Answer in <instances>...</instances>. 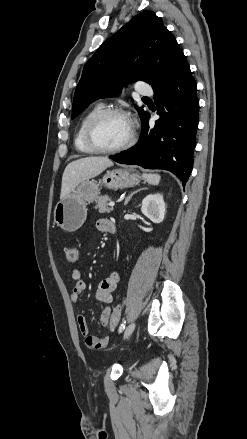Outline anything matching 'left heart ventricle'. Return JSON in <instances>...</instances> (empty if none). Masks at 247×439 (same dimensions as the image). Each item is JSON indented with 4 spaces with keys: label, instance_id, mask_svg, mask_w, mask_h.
I'll return each instance as SVG.
<instances>
[{
    "label": "left heart ventricle",
    "instance_id": "1",
    "mask_svg": "<svg viewBox=\"0 0 247 439\" xmlns=\"http://www.w3.org/2000/svg\"><path fill=\"white\" fill-rule=\"evenodd\" d=\"M131 132L130 122L121 116L105 118L96 129V139L105 148H115L125 143Z\"/></svg>",
    "mask_w": 247,
    "mask_h": 439
}]
</instances>
